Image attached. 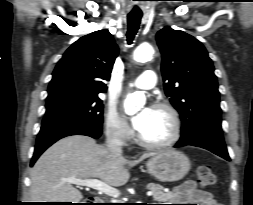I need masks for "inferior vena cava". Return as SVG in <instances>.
<instances>
[{
	"instance_id": "1",
	"label": "inferior vena cava",
	"mask_w": 253,
	"mask_h": 205,
	"mask_svg": "<svg viewBox=\"0 0 253 205\" xmlns=\"http://www.w3.org/2000/svg\"><path fill=\"white\" fill-rule=\"evenodd\" d=\"M122 141L118 132L111 130L108 131L106 136V146L112 152L116 154H122Z\"/></svg>"
}]
</instances>
